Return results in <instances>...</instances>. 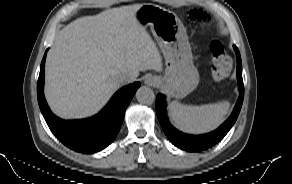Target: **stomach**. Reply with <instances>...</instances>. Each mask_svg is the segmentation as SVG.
<instances>
[{
  "instance_id": "0dacf381",
  "label": "stomach",
  "mask_w": 292,
  "mask_h": 184,
  "mask_svg": "<svg viewBox=\"0 0 292 184\" xmlns=\"http://www.w3.org/2000/svg\"><path fill=\"white\" fill-rule=\"evenodd\" d=\"M153 11L154 8L150 6L142 7L136 13L137 20L143 26H150L157 41L165 44L166 41L171 39L170 30L157 24ZM172 26L174 27L175 25L173 24ZM169 70L172 78L171 80H166V86L173 97H183L184 92L195 86L198 82V71L189 59L183 61L171 60Z\"/></svg>"
}]
</instances>
